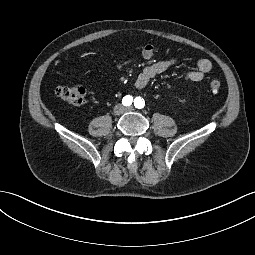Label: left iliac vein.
I'll use <instances>...</instances> for the list:
<instances>
[{
    "label": "left iliac vein",
    "instance_id": "4c4485c4",
    "mask_svg": "<svg viewBox=\"0 0 255 255\" xmlns=\"http://www.w3.org/2000/svg\"><path fill=\"white\" fill-rule=\"evenodd\" d=\"M125 110H126V111H132L133 108H132V107H128V108H126Z\"/></svg>",
    "mask_w": 255,
    "mask_h": 255
}]
</instances>
